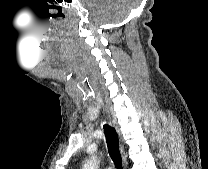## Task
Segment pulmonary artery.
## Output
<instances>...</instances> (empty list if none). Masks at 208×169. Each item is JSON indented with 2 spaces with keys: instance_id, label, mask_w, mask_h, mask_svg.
<instances>
[{
  "instance_id": "pulmonary-artery-1",
  "label": "pulmonary artery",
  "mask_w": 208,
  "mask_h": 169,
  "mask_svg": "<svg viewBox=\"0 0 208 169\" xmlns=\"http://www.w3.org/2000/svg\"><path fill=\"white\" fill-rule=\"evenodd\" d=\"M104 169H112L111 167H106V168H104Z\"/></svg>"
}]
</instances>
